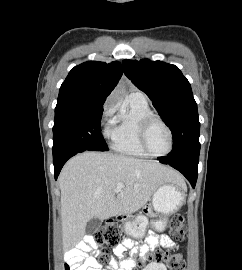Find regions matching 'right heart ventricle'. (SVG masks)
<instances>
[{"label": "right heart ventricle", "instance_id": "e07e8e85", "mask_svg": "<svg viewBox=\"0 0 242 270\" xmlns=\"http://www.w3.org/2000/svg\"><path fill=\"white\" fill-rule=\"evenodd\" d=\"M153 114L146 99L134 94L126 97L118 107L109 130L112 147L115 151L135 157H148L139 141V128L142 120Z\"/></svg>", "mask_w": 242, "mask_h": 270}]
</instances>
